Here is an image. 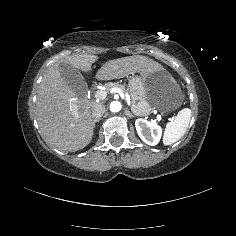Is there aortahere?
<instances>
[{
  "label": "aorta",
  "instance_id": "762f6f07",
  "mask_svg": "<svg viewBox=\"0 0 236 236\" xmlns=\"http://www.w3.org/2000/svg\"><path fill=\"white\" fill-rule=\"evenodd\" d=\"M122 108V105L118 101H113L110 103V111L111 112H119Z\"/></svg>",
  "mask_w": 236,
  "mask_h": 236
}]
</instances>
